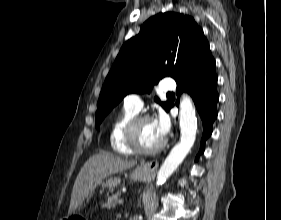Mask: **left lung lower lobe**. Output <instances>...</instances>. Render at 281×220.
I'll return each instance as SVG.
<instances>
[{"label":"left lung lower lobe","mask_w":281,"mask_h":220,"mask_svg":"<svg viewBox=\"0 0 281 220\" xmlns=\"http://www.w3.org/2000/svg\"><path fill=\"white\" fill-rule=\"evenodd\" d=\"M216 62L208 49L195 57L189 64L184 75L177 83V95L182 91L188 92L196 105L202 119L203 134L199 154L204 151L205 141L212 134V124L217 118V76L215 73ZM173 106L171 104L170 108ZM198 160V156L196 157Z\"/></svg>","instance_id":"obj_1"}]
</instances>
